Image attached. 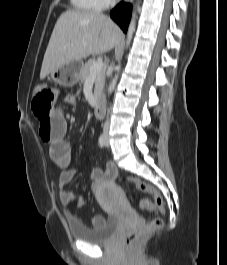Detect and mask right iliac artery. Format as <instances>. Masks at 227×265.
<instances>
[{"label": "right iliac artery", "instance_id": "obj_1", "mask_svg": "<svg viewBox=\"0 0 227 265\" xmlns=\"http://www.w3.org/2000/svg\"><path fill=\"white\" fill-rule=\"evenodd\" d=\"M99 145L101 147L105 146V136H104V134H101L100 137H99Z\"/></svg>", "mask_w": 227, "mask_h": 265}]
</instances>
